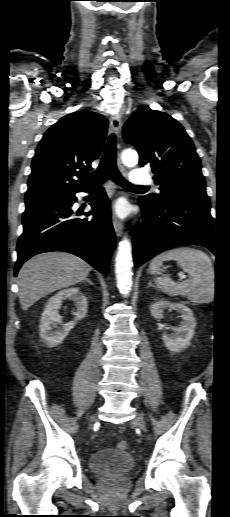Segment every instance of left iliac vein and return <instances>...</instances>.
<instances>
[{
  "label": "left iliac vein",
  "instance_id": "4c4485c4",
  "mask_svg": "<svg viewBox=\"0 0 230 517\" xmlns=\"http://www.w3.org/2000/svg\"><path fill=\"white\" fill-rule=\"evenodd\" d=\"M133 422L140 427L141 429H145V420L140 413H137Z\"/></svg>",
  "mask_w": 230,
  "mask_h": 517
}]
</instances>
